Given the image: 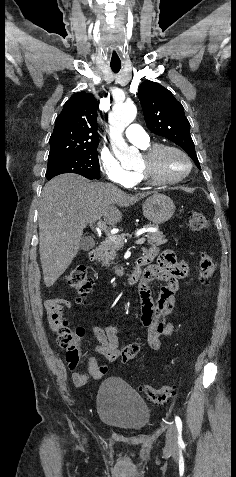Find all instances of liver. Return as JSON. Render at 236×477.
I'll use <instances>...</instances> for the list:
<instances>
[{
  "instance_id": "1",
  "label": "liver",
  "mask_w": 236,
  "mask_h": 477,
  "mask_svg": "<svg viewBox=\"0 0 236 477\" xmlns=\"http://www.w3.org/2000/svg\"><path fill=\"white\" fill-rule=\"evenodd\" d=\"M155 192L128 195L112 184L90 182L76 174H63L47 182L39 206V252L44 283L51 287L77 255L83 230L103 217L115 225L119 207H128Z\"/></svg>"
}]
</instances>
